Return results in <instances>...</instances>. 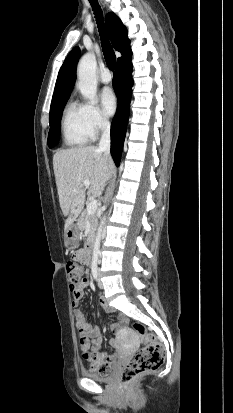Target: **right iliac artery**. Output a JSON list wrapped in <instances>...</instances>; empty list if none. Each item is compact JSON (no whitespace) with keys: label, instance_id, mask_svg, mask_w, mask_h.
<instances>
[{"label":"right iliac artery","instance_id":"1","mask_svg":"<svg viewBox=\"0 0 233 413\" xmlns=\"http://www.w3.org/2000/svg\"><path fill=\"white\" fill-rule=\"evenodd\" d=\"M92 275H93L95 280L98 279V269H97L96 265H92Z\"/></svg>","mask_w":233,"mask_h":413}]
</instances>
